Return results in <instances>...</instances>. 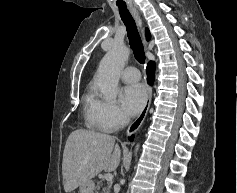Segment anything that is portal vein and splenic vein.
I'll return each mask as SVG.
<instances>
[{
  "label": "portal vein and splenic vein",
  "mask_w": 237,
  "mask_h": 193,
  "mask_svg": "<svg viewBox=\"0 0 237 193\" xmlns=\"http://www.w3.org/2000/svg\"><path fill=\"white\" fill-rule=\"evenodd\" d=\"M104 178H105V180H107V181H112L113 175H112L111 173H107V174H105Z\"/></svg>",
  "instance_id": "18ae733b"
}]
</instances>
